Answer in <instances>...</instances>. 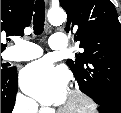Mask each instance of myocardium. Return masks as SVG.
I'll return each instance as SVG.
<instances>
[{"label": "myocardium", "mask_w": 121, "mask_h": 113, "mask_svg": "<svg viewBox=\"0 0 121 113\" xmlns=\"http://www.w3.org/2000/svg\"><path fill=\"white\" fill-rule=\"evenodd\" d=\"M68 94L77 101V104L70 107H62L61 110L76 113L78 110H96V101L80 88H72Z\"/></svg>", "instance_id": "1"}]
</instances>
